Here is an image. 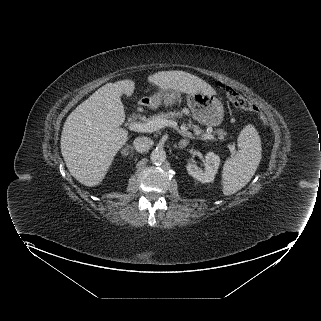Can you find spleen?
Returning <instances> with one entry per match:
<instances>
[{"label": "spleen", "mask_w": 321, "mask_h": 321, "mask_svg": "<svg viewBox=\"0 0 321 321\" xmlns=\"http://www.w3.org/2000/svg\"><path fill=\"white\" fill-rule=\"evenodd\" d=\"M239 151L225 161L222 173V191L232 195L241 190L255 174L261 160V140L255 127L245 126L239 134Z\"/></svg>", "instance_id": "obj_1"}]
</instances>
